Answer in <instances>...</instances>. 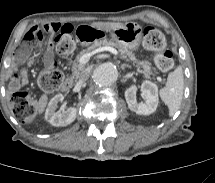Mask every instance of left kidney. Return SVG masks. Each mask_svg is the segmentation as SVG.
Masks as SVG:
<instances>
[{
	"label": "left kidney",
	"instance_id": "left-kidney-1",
	"mask_svg": "<svg viewBox=\"0 0 215 183\" xmlns=\"http://www.w3.org/2000/svg\"><path fill=\"white\" fill-rule=\"evenodd\" d=\"M137 90L138 87L136 85H131L125 91V99L129 109L139 115H150L155 112L159 100L157 86L147 80L142 83L140 90L145 99V103H137Z\"/></svg>",
	"mask_w": 215,
	"mask_h": 183
}]
</instances>
